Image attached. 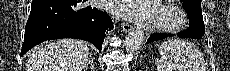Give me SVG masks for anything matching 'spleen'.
<instances>
[{
  "mask_svg": "<svg viewBox=\"0 0 230 71\" xmlns=\"http://www.w3.org/2000/svg\"><path fill=\"white\" fill-rule=\"evenodd\" d=\"M158 71H205L201 52L190 42L169 39L159 47Z\"/></svg>",
  "mask_w": 230,
  "mask_h": 71,
  "instance_id": "3e777b00",
  "label": "spleen"
}]
</instances>
